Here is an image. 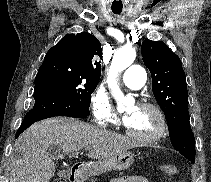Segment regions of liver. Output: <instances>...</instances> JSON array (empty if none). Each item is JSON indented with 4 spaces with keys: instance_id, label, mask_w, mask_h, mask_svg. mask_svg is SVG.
Masks as SVG:
<instances>
[{
    "instance_id": "6515ba94",
    "label": "liver",
    "mask_w": 211,
    "mask_h": 182,
    "mask_svg": "<svg viewBox=\"0 0 211 182\" xmlns=\"http://www.w3.org/2000/svg\"><path fill=\"white\" fill-rule=\"evenodd\" d=\"M77 152L93 147L87 156L100 161L136 147L131 139L73 118L56 117L33 124L14 144L9 182H49L55 175L54 157L48 150Z\"/></svg>"
}]
</instances>
